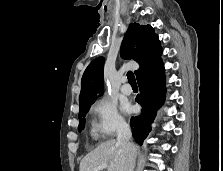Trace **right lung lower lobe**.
<instances>
[{"label":"right lung lower lobe","instance_id":"obj_1","mask_svg":"<svg viewBox=\"0 0 223 171\" xmlns=\"http://www.w3.org/2000/svg\"><path fill=\"white\" fill-rule=\"evenodd\" d=\"M137 82L140 93L136 101L142 106V111L138 116L131 118L130 125L133 128L134 139L142 145L151 130V123L157 110L165 99V76L162 61L141 74Z\"/></svg>","mask_w":223,"mask_h":171}]
</instances>
